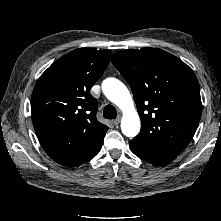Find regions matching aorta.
Returning <instances> with one entry per match:
<instances>
[{
    "mask_svg": "<svg viewBox=\"0 0 221 221\" xmlns=\"http://www.w3.org/2000/svg\"><path fill=\"white\" fill-rule=\"evenodd\" d=\"M105 96L123 112L121 130L127 137H135L141 128L139 115L127 87L116 78H107L102 83Z\"/></svg>",
    "mask_w": 221,
    "mask_h": 221,
    "instance_id": "obj_1",
    "label": "aorta"
}]
</instances>
